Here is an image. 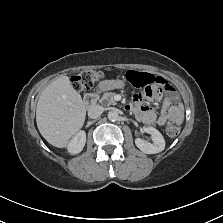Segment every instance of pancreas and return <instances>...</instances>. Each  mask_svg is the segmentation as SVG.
Returning <instances> with one entry per match:
<instances>
[{"label": "pancreas", "mask_w": 223, "mask_h": 223, "mask_svg": "<svg viewBox=\"0 0 223 223\" xmlns=\"http://www.w3.org/2000/svg\"><path fill=\"white\" fill-rule=\"evenodd\" d=\"M106 93H104L105 95L102 96V99L107 100L108 105H116L117 103L114 100L115 93H113V92H110V93H107V94Z\"/></svg>", "instance_id": "pancreas-1"}]
</instances>
